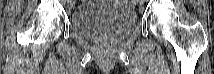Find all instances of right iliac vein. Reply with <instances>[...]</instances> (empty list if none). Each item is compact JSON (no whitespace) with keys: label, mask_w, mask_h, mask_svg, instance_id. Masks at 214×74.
Returning a JSON list of instances; mask_svg holds the SVG:
<instances>
[{"label":"right iliac vein","mask_w":214,"mask_h":74,"mask_svg":"<svg viewBox=\"0 0 214 74\" xmlns=\"http://www.w3.org/2000/svg\"><path fill=\"white\" fill-rule=\"evenodd\" d=\"M70 6L73 7L74 6V2H70Z\"/></svg>","instance_id":"63e3f726"}]
</instances>
